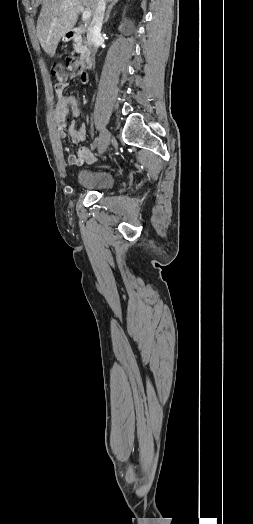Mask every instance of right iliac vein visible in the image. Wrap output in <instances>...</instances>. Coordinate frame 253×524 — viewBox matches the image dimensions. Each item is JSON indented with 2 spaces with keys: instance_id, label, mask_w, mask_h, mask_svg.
<instances>
[{
  "instance_id": "63e3f726",
  "label": "right iliac vein",
  "mask_w": 253,
  "mask_h": 524,
  "mask_svg": "<svg viewBox=\"0 0 253 524\" xmlns=\"http://www.w3.org/2000/svg\"><path fill=\"white\" fill-rule=\"evenodd\" d=\"M110 137H111L110 131L107 130L106 128H103L100 133V138H99L100 139L99 146H98L99 154H103L106 151V149L108 148Z\"/></svg>"
}]
</instances>
